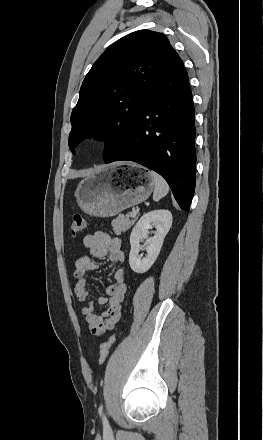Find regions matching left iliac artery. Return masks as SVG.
I'll return each instance as SVG.
<instances>
[{
	"mask_svg": "<svg viewBox=\"0 0 263 440\" xmlns=\"http://www.w3.org/2000/svg\"><path fill=\"white\" fill-rule=\"evenodd\" d=\"M99 411H100V412H102V411H103V406H102V405L100 406V408H99ZM104 420H105V423H107V419H106V418H104Z\"/></svg>",
	"mask_w": 263,
	"mask_h": 440,
	"instance_id": "obj_1",
	"label": "left iliac artery"
}]
</instances>
